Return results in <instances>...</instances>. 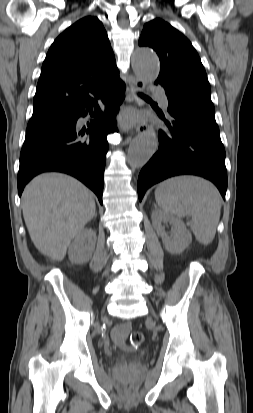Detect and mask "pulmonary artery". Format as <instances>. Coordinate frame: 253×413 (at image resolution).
Here are the masks:
<instances>
[{"mask_svg": "<svg viewBox=\"0 0 253 413\" xmlns=\"http://www.w3.org/2000/svg\"><path fill=\"white\" fill-rule=\"evenodd\" d=\"M151 92H152L154 95L157 96V98H158L161 106H162L164 109H167V108H168V98H167L165 92H164L161 88H158V87L152 88V89H151Z\"/></svg>", "mask_w": 253, "mask_h": 413, "instance_id": "e3ab8cb5", "label": "pulmonary artery"}]
</instances>
